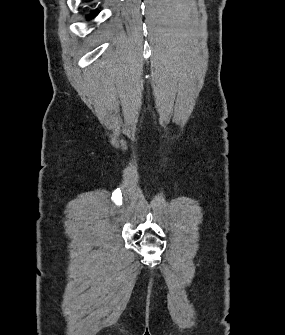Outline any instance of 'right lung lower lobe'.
Instances as JSON below:
<instances>
[{
  "mask_svg": "<svg viewBox=\"0 0 285 335\" xmlns=\"http://www.w3.org/2000/svg\"><path fill=\"white\" fill-rule=\"evenodd\" d=\"M89 1H91V0H89ZM98 13H99L98 10H93L89 15H87V18H88V19L93 18V17H95Z\"/></svg>",
  "mask_w": 285,
  "mask_h": 335,
  "instance_id": "98d812e1",
  "label": "right lung lower lobe"
}]
</instances>
